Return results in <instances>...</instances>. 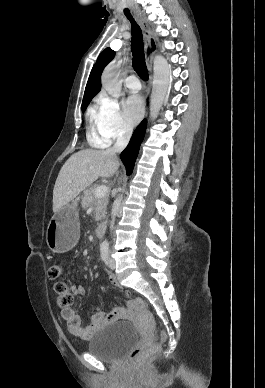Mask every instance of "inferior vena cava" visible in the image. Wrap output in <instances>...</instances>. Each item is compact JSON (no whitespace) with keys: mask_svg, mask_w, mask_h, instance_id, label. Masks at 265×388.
I'll return each mask as SVG.
<instances>
[{"mask_svg":"<svg viewBox=\"0 0 265 388\" xmlns=\"http://www.w3.org/2000/svg\"><path fill=\"white\" fill-rule=\"evenodd\" d=\"M132 132V126H126L124 134L117 138L116 144H114L113 148H110V152H114V154H120V152H123L132 136ZM113 224L114 222H111V228H113Z\"/></svg>","mask_w":265,"mask_h":388,"instance_id":"1","label":"inferior vena cava"}]
</instances>
